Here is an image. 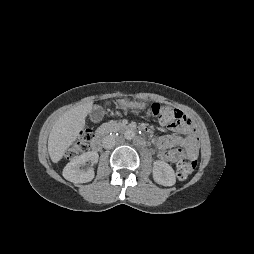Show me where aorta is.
I'll list each match as a JSON object with an SVG mask.
<instances>
[{
  "label": "aorta",
  "mask_w": 254,
  "mask_h": 254,
  "mask_svg": "<svg viewBox=\"0 0 254 254\" xmlns=\"http://www.w3.org/2000/svg\"><path fill=\"white\" fill-rule=\"evenodd\" d=\"M134 136H135V133H134L133 130H127V131L125 132V134H124V137H125L126 139H128V140L133 139Z\"/></svg>",
  "instance_id": "1"
}]
</instances>
